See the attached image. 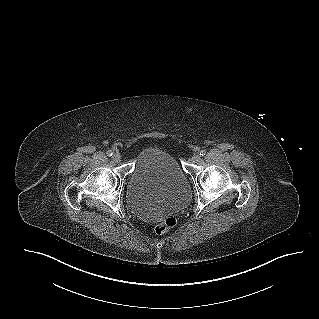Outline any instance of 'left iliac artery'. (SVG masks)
<instances>
[{"mask_svg":"<svg viewBox=\"0 0 319 319\" xmlns=\"http://www.w3.org/2000/svg\"><path fill=\"white\" fill-rule=\"evenodd\" d=\"M199 154H200V156H204V155L206 154V151H205V150H201V151L199 152Z\"/></svg>","mask_w":319,"mask_h":319,"instance_id":"44dca946","label":"left iliac artery"}]
</instances>
